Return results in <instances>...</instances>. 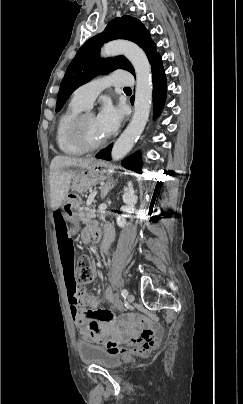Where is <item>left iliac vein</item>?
I'll use <instances>...</instances> for the list:
<instances>
[{"label":"left iliac vein","instance_id":"4c4485c4","mask_svg":"<svg viewBox=\"0 0 243 404\" xmlns=\"http://www.w3.org/2000/svg\"><path fill=\"white\" fill-rule=\"evenodd\" d=\"M134 299H135V297H134L133 294H129L128 297H127V300H128L129 303H132L134 301Z\"/></svg>","mask_w":243,"mask_h":404}]
</instances>
